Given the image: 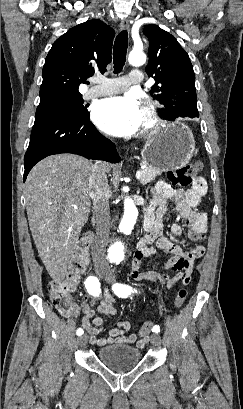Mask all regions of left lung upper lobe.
Returning <instances> with one entry per match:
<instances>
[{
	"mask_svg": "<svg viewBox=\"0 0 243 409\" xmlns=\"http://www.w3.org/2000/svg\"><path fill=\"white\" fill-rule=\"evenodd\" d=\"M143 34L149 40L145 70L156 80L150 92L165 106L163 118L172 120L179 113L198 114L195 75L188 54L174 36L157 25L145 26Z\"/></svg>",
	"mask_w": 243,
	"mask_h": 409,
	"instance_id": "left-lung-upper-lobe-1",
	"label": "left lung upper lobe"
}]
</instances>
